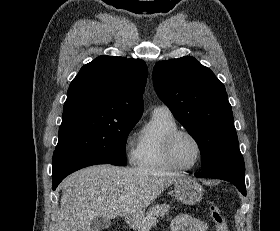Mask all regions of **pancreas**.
<instances>
[{"instance_id":"obj_1","label":"pancreas","mask_w":280,"mask_h":231,"mask_svg":"<svg viewBox=\"0 0 280 231\" xmlns=\"http://www.w3.org/2000/svg\"><path fill=\"white\" fill-rule=\"evenodd\" d=\"M169 209L170 205H167V203L152 205L144 217L137 219L136 227H138V231H150L151 227L156 225L158 221L157 217H165V215H168Z\"/></svg>"}]
</instances>
